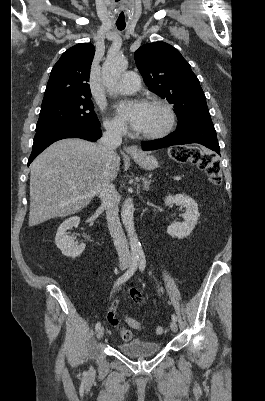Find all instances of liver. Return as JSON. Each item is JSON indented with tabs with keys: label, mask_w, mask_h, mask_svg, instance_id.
Segmentation results:
<instances>
[{
	"label": "liver",
	"mask_w": 265,
	"mask_h": 401,
	"mask_svg": "<svg viewBox=\"0 0 265 401\" xmlns=\"http://www.w3.org/2000/svg\"><path fill=\"white\" fill-rule=\"evenodd\" d=\"M120 156L107 164L98 142L63 138L53 142L30 164L29 227L55 217H68L89 205L105 174L114 180Z\"/></svg>",
	"instance_id": "6515ba94"
}]
</instances>
